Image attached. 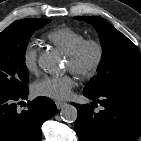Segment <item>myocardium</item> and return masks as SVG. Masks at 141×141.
<instances>
[{
  "mask_svg": "<svg viewBox=\"0 0 141 141\" xmlns=\"http://www.w3.org/2000/svg\"><path fill=\"white\" fill-rule=\"evenodd\" d=\"M105 57V49L97 39H85L67 55L70 71L80 80H90L99 71Z\"/></svg>",
  "mask_w": 141,
  "mask_h": 141,
  "instance_id": "f54148a6",
  "label": "myocardium"
}]
</instances>
